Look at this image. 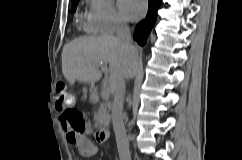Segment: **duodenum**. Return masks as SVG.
Wrapping results in <instances>:
<instances>
[{"mask_svg":"<svg viewBox=\"0 0 242 160\" xmlns=\"http://www.w3.org/2000/svg\"><path fill=\"white\" fill-rule=\"evenodd\" d=\"M97 95H98L97 89L96 88L91 89V96L93 98H96ZM109 135H110L109 130L106 127L100 128L96 132V138L101 143L107 142L109 139Z\"/></svg>","mask_w":242,"mask_h":160,"instance_id":"obj_1","label":"duodenum"}]
</instances>
